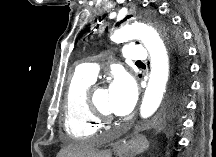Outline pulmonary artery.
I'll use <instances>...</instances> for the list:
<instances>
[{
    "mask_svg": "<svg viewBox=\"0 0 216 157\" xmlns=\"http://www.w3.org/2000/svg\"><path fill=\"white\" fill-rule=\"evenodd\" d=\"M123 57L131 61H144L147 59V51L141 45L131 44L124 49ZM76 72L81 76L95 80L99 72V66L94 62L84 63L77 67Z\"/></svg>",
    "mask_w": 216,
    "mask_h": 157,
    "instance_id": "obj_1",
    "label": "pulmonary artery"
}]
</instances>
